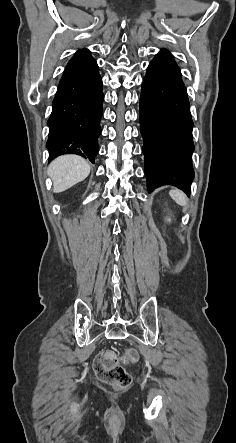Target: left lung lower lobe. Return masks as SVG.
Segmentation results:
<instances>
[{"mask_svg": "<svg viewBox=\"0 0 236 443\" xmlns=\"http://www.w3.org/2000/svg\"><path fill=\"white\" fill-rule=\"evenodd\" d=\"M139 117L148 190L174 185L190 196L193 121L181 71L167 50L147 68Z\"/></svg>", "mask_w": 236, "mask_h": 443, "instance_id": "1", "label": "left lung lower lobe"}]
</instances>
